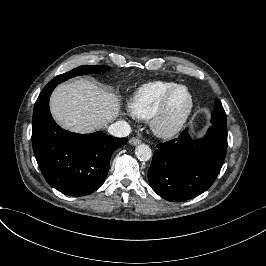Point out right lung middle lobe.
Masks as SVG:
<instances>
[{
  "instance_id": "1",
  "label": "right lung middle lobe",
  "mask_w": 266,
  "mask_h": 266,
  "mask_svg": "<svg viewBox=\"0 0 266 266\" xmlns=\"http://www.w3.org/2000/svg\"><path fill=\"white\" fill-rule=\"evenodd\" d=\"M110 70L109 66L106 65H95V66H88V65H83L79 66L77 68L72 69L71 71L58 75L55 77L53 80L50 82H63L66 81L69 78L75 77L77 75H84L87 73H99V72H105Z\"/></svg>"
}]
</instances>
